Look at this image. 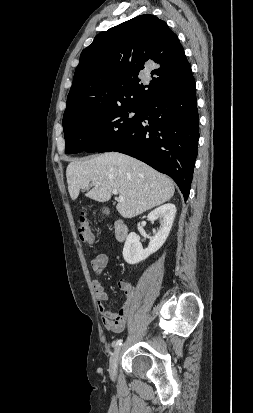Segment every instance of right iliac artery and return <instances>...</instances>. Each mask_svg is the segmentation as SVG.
Returning <instances> with one entry per match:
<instances>
[{"label":"right iliac artery","instance_id":"1","mask_svg":"<svg viewBox=\"0 0 253 413\" xmlns=\"http://www.w3.org/2000/svg\"><path fill=\"white\" fill-rule=\"evenodd\" d=\"M122 339H119L117 342H116V344H115V346L114 347H118V346H120L121 344H122Z\"/></svg>","mask_w":253,"mask_h":413}]
</instances>
